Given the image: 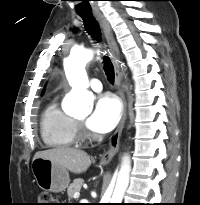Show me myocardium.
Instances as JSON below:
<instances>
[{"label": "myocardium", "instance_id": "1", "mask_svg": "<svg viewBox=\"0 0 200 205\" xmlns=\"http://www.w3.org/2000/svg\"><path fill=\"white\" fill-rule=\"evenodd\" d=\"M75 123H76V128H77L78 135L82 138L87 137L88 135H87L86 131L84 130L82 121L75 120Z\"/></svg>", "mask_w": 200, "mask_h": 205}]
</instances>
